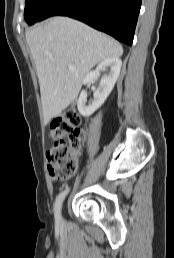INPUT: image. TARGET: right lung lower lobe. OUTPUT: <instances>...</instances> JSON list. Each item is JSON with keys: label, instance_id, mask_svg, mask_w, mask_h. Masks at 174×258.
<instances>
[{"label": "right lung lower lobe", "instance_id": "obj_1", "mask_svg": "<svg viewBox=\"0 0 174 258\" xmlns=\"http://www.w3.org/2000/svg\"><path fill=\"white\" fill-rule=\"evenodd\" d=\"M142 0H52L43 19L55 15L80 20L132 45Z\"/></svg>", "mask_w": 174, "mask_h": 258}]
</instances>
